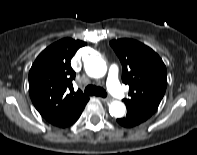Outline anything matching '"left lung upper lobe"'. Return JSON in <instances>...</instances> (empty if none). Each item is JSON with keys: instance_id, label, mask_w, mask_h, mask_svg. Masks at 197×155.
Instances as JSON below:
<instances>
[{"instance_id": "1", "label": "left lung upper lobe", "mask_w": 197, "mask_h": 155, "mask_svg": "<svg viewBox=\"0 0 197 155\" xmlns=\"http://www.w3.org/2000/svg\"><path fill=\"white\" fill-rule=\"evenodd\" d=\"M119 57L122 81L129 85L127 111L147 120L158 108L167 86V71L162 59L150 47L132 39L110 42Z\"/></svg>"}]
</instances>
